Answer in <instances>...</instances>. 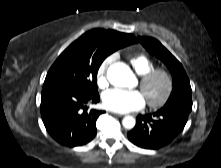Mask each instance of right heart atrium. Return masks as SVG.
Returning <instances> with one entry per match:
<instances>
[{
    "label": "right heart atrium",
    "mask_w": 221,
    "mask_h": 168,
    "mask_svg": "<svg viewBox=\"0 0 221 168\" xmlns=\"http://www.w3.org/2000/svg\"><path fill=\"white\" fill-rule=\"evenodd\" d=\"M114 56L107 57L99 66L96 74L97 84L100 88L108 86L107 70L110 64L113 62Z\"/></svg>",
    "instance_id": "d8ad5b80"
}]
</instances>
